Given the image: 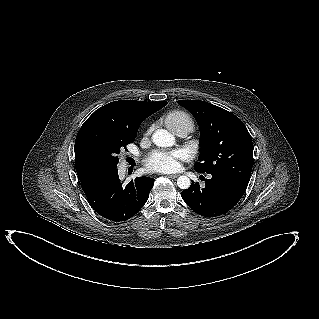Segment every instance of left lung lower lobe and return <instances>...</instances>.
Instances as JSON below:
<instances>
[{"label":"left lung lower lobe","instance_id":"obj_1","mask_svg":"<svg viewBox=\"0 0 319 319\" xmlns=\"http://www.w3.org/2000/svg\"><path fill=\"white\" fill-rule=\"evenodd\" d=\"M248 184L224 174H211L205 187L193 182L181 192L186 204L204 217H217L229 212L241 199Z\"/></svg>","mask_w":319,"mask_h":319}]
</instances>
